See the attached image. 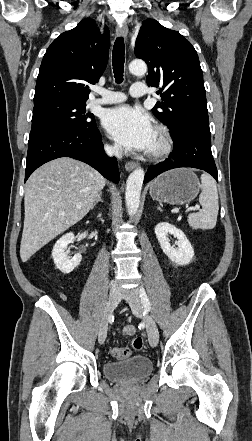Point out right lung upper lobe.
<instances>
[{
    "label": "right lung upper lobe",
    "mask_w": 252,
    "mask_h": 441,
    "mask_svg": "<svg viewBox=\"0 0 252 441\" xmlns=\"http://www.w3.org/2000/svg\"><path fill=\"white\" fill-rule=\"evenodd\" d=\"M109 46L108 28L101 35L90 18L58 36L43 57L34 104L48 100L86 101L90 92L87 83L94 84L105 70Z\"/></svg>",
    "instance_id": "obj_1"
}]
</instances>
